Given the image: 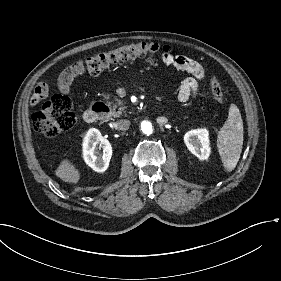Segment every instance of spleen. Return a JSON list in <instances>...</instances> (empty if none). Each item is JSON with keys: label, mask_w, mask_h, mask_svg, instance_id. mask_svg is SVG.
Returning <instances> with one entry per match:
<instances>
[{"label": "spleen", "mask_w": 281, "mask_h": 281, "mask_svg": "<svg viewBox=\"0 0 281 281\" xmlns=\"http://www.w3.org/2000/svg\"><path fill=\"white\" fill-rule=\"evenodd\" d=\"M243 120L239 108L231 103L228 119L221 127L216 141L217 151L226 172H232L240 159L243 148Z\"/></svg>", "instance_id": "obj_1"}]
</instances>
